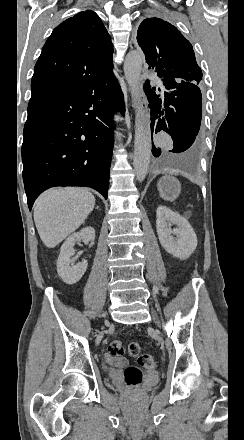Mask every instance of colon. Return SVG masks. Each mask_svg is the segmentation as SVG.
<instances>
[{
  "instance_id": "5ec220e1",
  "label": "colon",
  "mask_w": 244,
  "mask_h": 440,
  "mask_svg": "<svg viewBox=\"0 0 244 440\" xmlns=\"http://www.w3.org/2000/svg\"><path fill=\"white\" fill-rule=\"evenodd\" d=\"M108 350L113 357H120L124 354L125 345L120 340H114L109 343ZM127 351L130 356L138 357L139 366L146 367L149 370L155 367L156 364L155 357L151 354L142 353L140 343H136V342L129 343L127 346ZM142 377H143L142 373L136 369L135 365L127 366L124 375L125 383L127 385L130 386L137 385L141 381Z\"/></svg>"
}]
</instances>
